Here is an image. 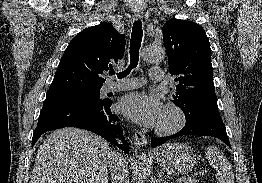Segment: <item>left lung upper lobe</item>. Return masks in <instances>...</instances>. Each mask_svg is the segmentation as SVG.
Here are the masks:
<instances>
[{"label":"left lung upper lobe","mask_w":262,"mask_h":183,"mask_svg":"<svg viewBox=\"0 0 262 183\" xmlns=\"http://www.w3.org/2000/svg\"><path fill=\"white\" fill-rule=\"evenodd\" d=\"M169 69L176 75L174 102L186 120L198 115H220L213 83L211 49L203 28L172 18L163 26Z\"/></svg>","instance_id":"obj_1"}]
</instances>
